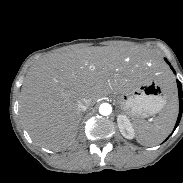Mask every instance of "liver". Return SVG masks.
<instances>
[{"label": "liver", "instance_id": "liver-1", "mask_svg": "<svg viewBox=\"0 0 183 183\" xmlns=\"http://www.w3.org/2000/svg\"><path fill=\"white\" fill-rule=\"evenodd\" d=\"M143 64H153L165 79L159 62L135 48H75L35 61L24 79L20 100L30 136L45 148L69 146L82 118L78 101L84 99L91 106L112 92L122 94L133 82L135 68Z\"/></svg>", "mask_w": 183, "mask_h": 183}]
</instances>
